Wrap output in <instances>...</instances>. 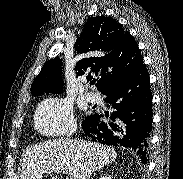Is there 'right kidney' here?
Wrapping results in <instances>:
<instances>
[{"mask_svg":"<svg viewBox=\"0 0 183 179\" xmlns=\"http://www.w3.org/2000/svg\"><path fill=\"white\" fill-rule=\"evenodd\" d=\"M99 179H113V178L111 176L104 175V176L100 177Z\"/></svg>","mask_w":183,"mask_h":179,"instance_id":"ca27d5eb","label":"right kidney"}]
</instances>
